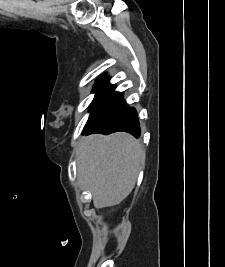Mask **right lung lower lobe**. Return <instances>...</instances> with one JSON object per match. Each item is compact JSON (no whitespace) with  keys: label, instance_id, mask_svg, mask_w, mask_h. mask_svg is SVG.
<instances>
[{"label":"right lung lower lobe","instance_id":"1","mask_svg":"<svg viewBox=\"0 0 225 267\" xmlns=\"http://www.w3.org/2000/svg\"><path fill=\"white\" fill-rule=\"evenodd\" d=\"M105 75L99 78L94 87L96 93L90 107V116L84 126L83 134H111L124 131L139 138L140 123L135 108L126 105L122 92H116Z\"/></svg>","mask_w":225,"mask_h":267}]
</instances>
